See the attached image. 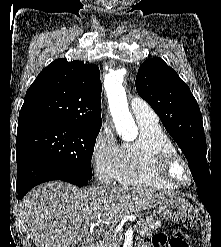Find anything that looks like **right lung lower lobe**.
Returning <instances> with one entry per match:
<instances>
[{
    "label": "right lung lower lobe",
    "instance_id": "1",
    "mask_svg": "<svg viewBox=\"0 0 221 247\" xmlns=\"http://www.w3.org/2000/svg\"><path fill=\"white\" fill-rule=\"evenodd\" d=\"M17 149V199L20 200L34 186L52 180H62L83 186L89 180L67 171L54 160L29 148Z\"/></svg>",
    "mask_w": 221,
    "mask_h": 247
}]
</instances>
